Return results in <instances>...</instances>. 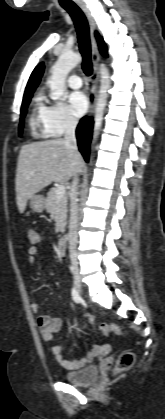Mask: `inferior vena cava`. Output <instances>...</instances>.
Returning <instances> with one entry per match:
<instances>
[{
  "instance_id": "inferior-vena-cava-1",
  "label": "inferior vena cava",
  "mask_w": 165,
  "mask_h": 419,
  "mask_svg": "<svg viewBox=\"0 0 165 419\" xmlns=\"http://www.w3.org/2000/svg\"><path fill=\"white\" fill-rule=\"evenodd\" d=\"M78 124V120L72 116H69L66 122L65 128V144L72 151L73 154H78L77 142L75 137V130ZM77 170L74 173L73 182L70 188V220H69V256L71 264L75 270V274L78 277V261H77V250L76 245L78 242V203H77V187H78V173Z\"/></svg>"
}]
</instances>
